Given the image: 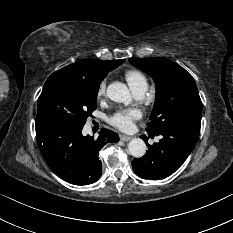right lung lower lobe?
<instances>
[{"label": "right lung lower lobe", "instance_id": "98d812e1", "mask_svg": "<svg viewBox=\"0 0 233 233\" xmlns=\"http://www.w3.org/2000/svg\"><path fill=\"white\" fill-rule=\"evenodd\" d=\"M83 126L36 123L40 152L49 168L61 179L76 185L96 182L102 175L99 150L108 142H118L117 133L102 129L97 139L82 135Z\"/></svg>", "mask_w": 233, "mask_h": 233}]
</instances>
